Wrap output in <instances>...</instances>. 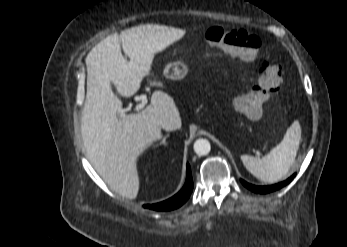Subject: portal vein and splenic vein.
<instances>
[{
	"label": "portal vein and splenic vein",
	"mask_w": 347,
	"mask_h": 247,
	"mask_svg": "<svg viewBox=\"0 0 347 247\" xmlns=\"http://www.w3.org/2000/svg\"><path fill=\"white\" fill-rule=\"evenodd\" d=\"M147 102H148V100H147V98H146V96H142V98H141V103H139L137 106H136V110H140V109H142V108H144L145 107V105L147 104ZM123 116V115H122Z\"/></svg>",
	"instance_id": "portal-vein-and-splenic-vein-1"
}]
</instances>
